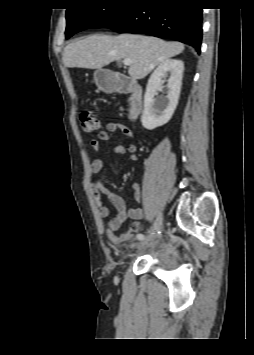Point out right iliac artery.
<instances>
[{"label": "right iliac artery", "mask_w": 254, "mask_h": 355, "mask_svg": "<svg viewBox=\"0 0 254 355\" xmlns=\"http://www.w3.org/2000/svg\"><path fill=\"white\" fill-rule=\"evenodd\" d=\"M150 234H154V230H152V231L150 232ZM137 239H138V240H143V239H144V235L141 234V233H139V234L137 235Z\"/></svg>", "instance_id": "right-iliac-artery-1"}]
</instances>
